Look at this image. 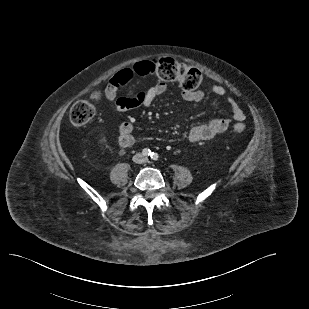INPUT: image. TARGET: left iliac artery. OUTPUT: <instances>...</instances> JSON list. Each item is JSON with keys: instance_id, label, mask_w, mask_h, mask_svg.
I'll list each match as a JSON object with an SVG mask.
<instances>
[{"instance_id": "left-iliac-artery-1", "label": "left iliac artery", "mask_w": 309, "mask_h": 309, "mask_svg": "<svg viewBox=\"0 0 309 309\" xmlns=\"http://www.w3.org/2000/svg\"><path fill=\"white\" fill-rule=\"evenodd\" d=\"M151 158L153 159V160H158V158H159V155L157 154V153H152L151 154Z\"/></svg>"}]
</instances>
